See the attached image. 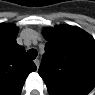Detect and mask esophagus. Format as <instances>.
<instances>
[{"label":"esophagus","mask_w":95,"mask_h":95,"mask_svg":"<svg viewBox=\"0 0 95 95\" xmlns=\"http://www.w3.org/2000/svg\"><path fill=\"white\" fill-rule=\"evenodd\" d=\"M34 63L36 65L37 69H38L39 68V65H40V61L38 59H35L34 60Z\"/></svg>","instance_id":"esophagus-1"}]
</instances>
